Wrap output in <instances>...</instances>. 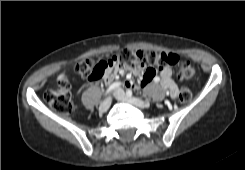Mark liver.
<instances>
[{"label":"liver","instance_id":"obj_1","mask_svg":"<svg viewBox=\"0 0 245 170\" xmlns=\"http://www.w3.org/2000/svg\"><path fill=\"white\" fill-rule=\"evenodd\" d=\"M65 77V74H61L58 76L57 80H62Z\"/></svg>","mask_w":245,"mask_h":170}]
</instances>
